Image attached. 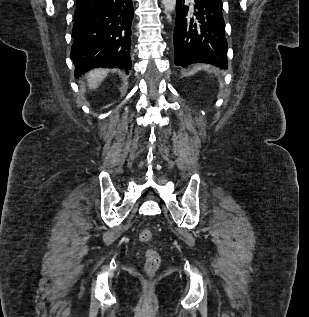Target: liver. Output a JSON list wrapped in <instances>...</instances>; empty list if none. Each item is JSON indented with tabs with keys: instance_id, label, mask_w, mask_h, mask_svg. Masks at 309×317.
I'll return each mask as SVG.
<instances>
[{
	"instance_id": "liver-1",
	"label": "liver",
	"mask_w": 309,
	"mask_h": 317,
	"mask_svg": "<svg viewBox=\"0 0 309 317\" xmlns=\"http://www.w3.org/2000/svg\"><path fill=\"white\" fill-rule=\"evenodd\" d=\"M108 70L106 69H94L87 74V81L90 89H95L107 76Z\"/></svg>"
}]
</instances>
